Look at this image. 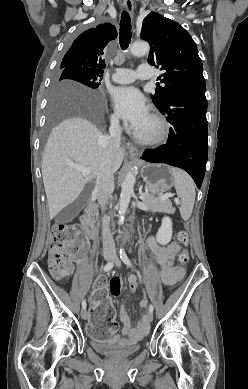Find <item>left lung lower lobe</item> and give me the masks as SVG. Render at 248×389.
<instances>
[{
    "mask_svg": "<svg viewBox=\"0 0 248 389\" xmlns=\"http://www.w3.org/2000/svg\"><path fill=\"white\" fill-rule=\"evenodd\" d=\"M158 109L171 124L168 142L145 150L141 158L184 169L200 188L208 156L205 84L179 90Z\"/></svg>",
    "mask_w": 248,
    "mask_h": 389,
    "instance_id": "0a47b994",
    "label": "left lung lower lobe"
}]
</instances>
